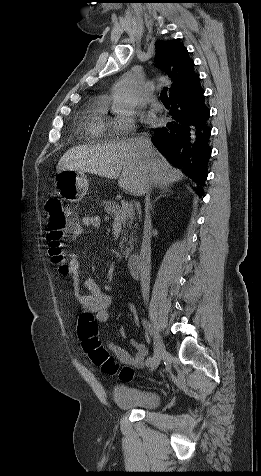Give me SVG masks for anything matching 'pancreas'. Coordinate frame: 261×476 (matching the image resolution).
Listing matches in <instances>:
<instances>
[{
	"mask_svg": "<svg viewBox=\"0 0 261 476\" xmlns=\"http://www.w3.org/2000/svg\"><path fill=\"white\" fill-rule=\"evenodd\" d=\"M104 205V211L108 214V216L112 217L113 219L116 218V216L120 213L121 211V206L119 203L115 201H103ZM135 214L133 213L132 215H129L125 217L124 219L121 220V223L123 225V231H122V237L120 241V249L123 252V255L128 257L129 254L133 250V226L132 224L134 223L135 220ZM128 228V229H127ZM129 231H131L130 235L128 234ZM128 241V246H124V243Z\"/></svg>",
	"mask_w": 261,
	"mask_h": 476,
	"instance_id": "cf45deb5",
	"label": "pancreas"
}]
</instances>
